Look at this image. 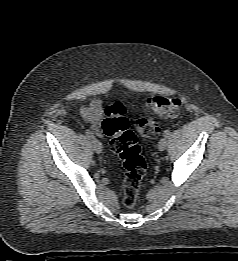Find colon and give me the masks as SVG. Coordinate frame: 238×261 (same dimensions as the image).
Listing matches in <instances>:
<instances>
[{"mask_svg": "<svg viewBox=\"0 0 238 261\" xmlns=\"http://www.w3.org/2000/svg\"><path fill=\"white\" fill-rule=\"evenodd\" d=\"M182 101L178 98L153 96L144 103L145 116L135 123L136 131L143 137L153 138L159 133L155 116L174 118L180 113ZM106 118L102 122V131L110 137L109 146L122 160L125 169L123 180V205L133 208L138 200L142 180L147 171V165L141 154L135 133L130 130L126 118V109L121 102H115L104 110Z\"/></svg>", "mask_w": 238, "mask_h": 261, "instance_id": "colon-1", "label": "colon"}]
</instances>
